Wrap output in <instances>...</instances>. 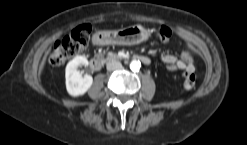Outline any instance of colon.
I'll return each mask as SVG.
<instances>
[{"label":"colon","instance_id":"1","mask_svg":"<svg viewBox=\"0 0 247 145\" xmlns=\"http://www.w3.org/2000/svg\"><path fill=\"white\" fill-rule=\"evenodd\" d=\"M157 35L162 41H168L172 36V30L167 26L157 28ZM91 28L88 25L75 27L68 35L58 39L53 46L49 61L54 66L64 64L67 60L75 56L84 49L90 38ZM196 83L194 73L188 72L184 75L183 87L191 90Z\"/></svg>","mask_w":247,"mask_h":145}]
</instances>
